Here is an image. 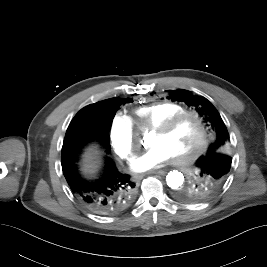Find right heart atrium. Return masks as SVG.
<instances>
[{
	"label": "right heart atrium",
	"mask_w": 267,
	"mask_h": 267,
	"mask_svg": "<svg viewBox=\"0 0 267 267\" xmlns=\"http://www.w3.org/2000/svg\"><path fill=\"white\" fill-rule=\"evenodd\" d=\"M137 132L129 117L116 113L111 122L110 139L115 154L122 160L130 162L134 158Z\"/></svg>",
	"instance_id": "right-heart-atrium-1"
}]
</instances>
